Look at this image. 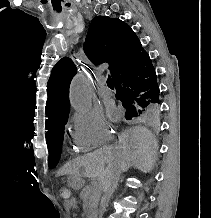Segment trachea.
<instances>
[{"instance_id":"1","label":"trachea","mask_w":211,"mask_h":218,"mask_svg":"<svg viewBox=\"0 0 211 218\" xmlns=\"http://www.w3.org/2000/svg\"><path fill=\"white\" fill-rule=\"evenodd\" d=\"M107 84H113L112 78L108 75Z\"/></svg>"}]
</instances>
